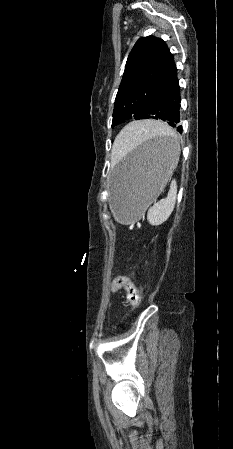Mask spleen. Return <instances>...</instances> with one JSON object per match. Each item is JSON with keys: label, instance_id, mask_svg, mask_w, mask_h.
Instances as JSON below:
<instances>
[{"label": "spleen", "instance_id": "obj_1", "mask_svg": "<svg viewBox=\"0 0 233 449\" xmlns=\"http://www.w3.org/2000/svg\"><path fill=\"white\" fill-rule=\"evenodd\" d=\"M129 131L127 134H119L116 142V153L122 156L133 150L138 144L142 142H153L164 136H171V131L168 125H133L127 124ZM177 150L180 151L178 141ZM177 187L175 181H172L170 190L165 199H161L149 208L147 212V220L153 226H158L164 223L174 210L176 203Z\"/></svg>", "mask_w": 233, "mask_h": 449}]
</instances>
